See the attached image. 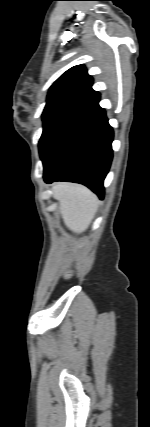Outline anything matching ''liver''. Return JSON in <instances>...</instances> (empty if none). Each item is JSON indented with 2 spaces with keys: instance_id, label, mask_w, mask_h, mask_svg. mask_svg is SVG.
Listing matches in <instances>:
<instances>
[{
  "instance_id": "obj_1",
  "label": "liver",
  "mask_w": 150,
  "mask_h": 427,
  "mask_svg": "<svg viewBox=\"0 0 150 427\" xmlns=\"http://www.w3.org/2000/svg\"><path fill=\"white\" fill-rule=\"evenodd\" d=\"M52 190L65 226L74 233H83L97 212V197L86 187L70 183L54 184Z\"/></svg>"
}]
</instances>
